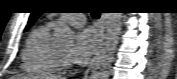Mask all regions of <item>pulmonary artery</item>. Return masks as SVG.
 Here are the masks:
<instances>
[{
  "label": "pulmonary artery",
  "mask_w": 177,
  "mask_h": 79,
  "mask_svg": "<svg viewBox=\"0 0 177 79\" xmlns=\"http://www.w3.org/2000/svg\"><path fill=\"white\" fill-rule=\"evenodd\" d=\"M66 22L71 24H84L86 21L84 14H64L61 16ZM51 22L50 24H53Z\"/></svg>",
  "instance_id": "e3ab8cb5"
}]
</instances>
